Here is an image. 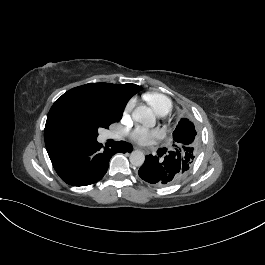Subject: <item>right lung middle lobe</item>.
<instances>
[{
    "label": "right lung middle lobe",
    "mask_w": 265,
    "mask_h": 265,
    "mask_svg": "<svg viewBox=\"0 0 265 265\" xmlns=\"http://www.w3.org/2000/svg\"><path fill=\"white\" fill-rule=\"evenodd\" d=\"M127 102L128 99L118 92L76 87L53 104L46 123L63 138L94 141L99 127L107 128L120 121Z\"/></svg>",
    "instance_id": "right-lung-middle-lobe-1"
}]
</instances>
